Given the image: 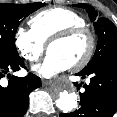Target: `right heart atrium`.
<instances>
[{"label":"right heart atrium","instance_id":"1","mask_svg":"<svg viewBox=\"0 0 117 117\" xmlns=\"http://www.w3.org/2000/svg\"><path fill=\"white\" fill-rule=\"evenodd\" d=\"M14 44L20 56L30 63L37 62L45 51V43L32 29L19 27L14 34Z\"/></svg>","mask_w":117,"mask_h":117}]
</instances>
